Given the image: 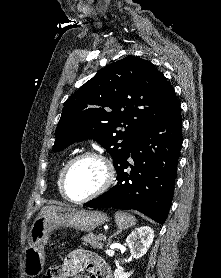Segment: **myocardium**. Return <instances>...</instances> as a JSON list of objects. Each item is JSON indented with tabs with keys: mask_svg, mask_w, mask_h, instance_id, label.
<instances>
[{
	"mask_svg": "<svg viewBox=\"0 0 221 278\" xmlns=\"http://www.w3.org/2000/svg\"><path fill=\"white\" fill-rule=\"evenodd\" d=\"M84 158H94L96 160H98L103 168H104V179L102 181V183L100 184V186L94 190L92 193L88 194L87 196L81 198V199H72L66 190V182H67V175L68 172L70 170V168L72 167V165L74 163H76L77 161L84 159ZM115 179V169L114 166L112 164V162L105 157L104 155H102L99 152L96 151H83L81 153L76 154L75 156H73L72 158H70L67 163L65 164L62 173H61V178H60V190L61 193L63 195V197L72 202V203H76V204H81V203H85L95 197L100 196L101 194H103L113 183Z\"/></svg>",
	"mask_w": 221,
	"mask_h": 278,
	"instance_id": "obj_1",
	"label": "myocardium"
}]
</instances>
